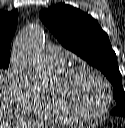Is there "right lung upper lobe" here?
Masks as SVG:
<instances>
[{"mask_svg": "<svg viewBox=\"0 0 125 128\" xmlns=\"http://www.w3.org/2000/svg\"><path fill=\"white\" fill-rule=\"evenodd\" d=\"M18 11L0 10V61H10V46L16 31Z\"/></svg>", "mask_w": 125, "mask_h": 128, "instance_id": "right-lung-upper-lobe-1", "label": "right lung upper lobe"}]
</instances>
